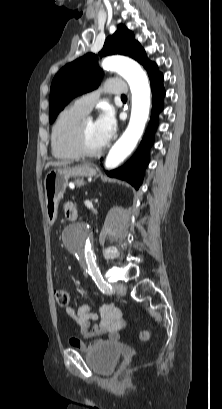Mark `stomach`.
Instances as JSON below:
<instances>
[{
  "label": "stomach",
  "instance_id": "0dacf381",
  "mask_svg": "<svg viewBox=\"0 0 222 409\" xmlns=\"http://www.w3.org/2000/svg\"><path fill=\"white\" fill-rule=\"evenodd\" d=\"M96 170L89 164H80L74 167L54 168L47 172L44 179L45 210L49 224L57 218L58 204L63 198L68 180L71 177H91Z\"/></svg>",
  "mask_w": 222,
  "mask_h": 409
}]
</instances>
